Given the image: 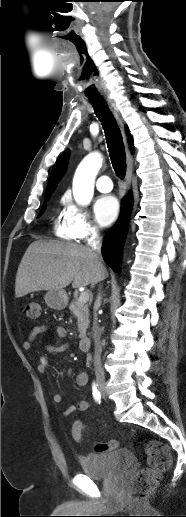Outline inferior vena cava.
Instances as JSON below:
<instances>
[{"label": "inferior vena cava", "mask_w": 186, "mask_h": 517, "mask_svg": "<svg viewBox=\"0 0 186 517\" xmlns=\"http://www.w3.org/2000/svg\"><path fill=\"white\" fill-rule=\"evenodd\" d=\"M87 246L91 249L93 255L98 259V264L101 266V260L99 258V255L101 253V236L99 234L98 228H95L94 232L92 233L91 237L88 239ZM103 280V279H101ZM101 303V296L100 293L97 296V300L95 303V307H98ZM94 321H93V339H94V370L97 380H104L105 379V373L104 369L102 367L101 362V352H102V346H101V330L98 325V318L96 310L94 311Z\"/></svg>", "instance_id": "inferior-vena-cava-1"}]
</instances>
